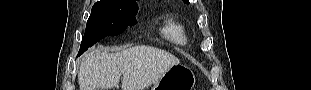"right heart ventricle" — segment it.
Returning a JSON list of instances; mask_svg holds the SVG:
<instances>
[{"label":"right heart ventricle","instance_id":"1","mask_svg":"<svg viewBox=\"0 0 311 90\" xmlns=\"http://www.w3.org/2000/svg\"><path fill=\"white\" fill-rule=\"evenodd\" d=\"M161 34L177 45H185L187 43L188 27L180 20L168 18L164 21Z\"/></svg>","mask_w":311,"mask_h":90}]
</instances>
